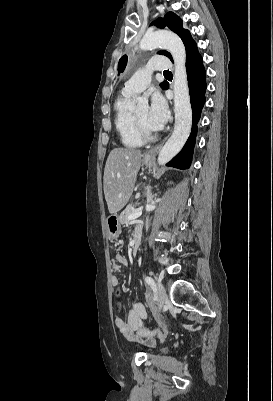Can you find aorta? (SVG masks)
<instances>
[{"instance_id": "obj_1", "label": "aorta", "mask_w": 273, "mask_h": 401, "mask_svg": "<svg viewBox=\"0 0 273 401\" xmlns=\"http://www.w3.org/2000/svg\"><path fill=\"white\" fill-rule=\"evenodd\" d=\"M158 47L167 49L174 60V112L175 125L171 137L167 140L158 154L157 162L165 165L183 148L192 127V108L186 71V50L182 40L169 31L147 33L140 41L141 50H153ZM138 108L148 105V100L137 97Z\"/></svg>"}]
</instances>
